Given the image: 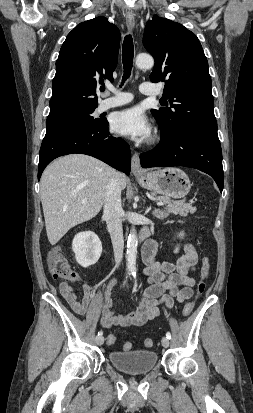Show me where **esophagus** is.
Returning a JSON list of instances; mask_svg holds the SVG:
<instances>
[{
    "label": "esophagus",
    "instance_id": "34e87169",
    "mask_svg": "<svg viewBox=\"0 0 253 413\" xmlns=\"http://www.w3.org/2000/svg\"><path fill=\"white\" fill-rule=\"evenodd\" d=\"M126 25H127V28L130 31H132L135 27V17H134V14L130 11L126 13ZM131 171H132L133 174L143 173V169H142L141 164H140L139 154L137 152H135L132 155Z\"/></svg>",
    "mask_w": 253,
    "mask_h": 413
}]
</instances>
